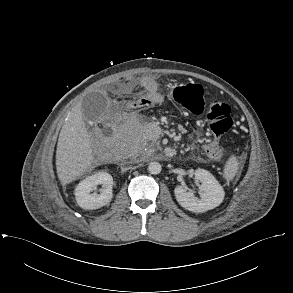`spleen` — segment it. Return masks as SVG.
<instances>
[{"label": "spleen", "mask_w": 293, "mask_h": 293, "mask_svg": "<svg viewBox=\"0 0 293 293\" xmlns=\"http://www.w3.org/2000/svg\"><path fill=\"white\" fill-rule=\"evenodd\" d=\"M237 169H238V163H237L236 157L232 156L228 160V162L225 166L224 173L227 177L231 178L234 176Z\"/></svg>", "instance_id": "1"}]
</instances>
